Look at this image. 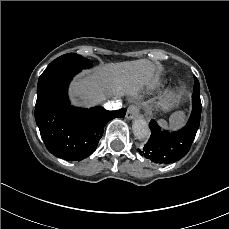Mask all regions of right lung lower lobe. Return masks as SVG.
Listing matches in <instances>:
<instances>
[{
	"label": "right lung lower lobe",
	"instance_id": "1",
	"mask_svg": "<svg viewBox=\"0 0 229 229\" xmlns=\"http://www.w3.org/2000/svg\"><path fill=\"white\" fill-rule=\"evenodd\" d=\"M79 69H62L39 79L35 120L49 152L67 160L80 161L91 155L108 121L125 116L126 109L107 111L70 105L68 85Z\"/></svg>",
	"mask_w": 229,
	"mask_h": 229
}]
</instances>
